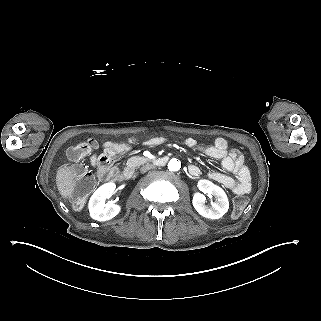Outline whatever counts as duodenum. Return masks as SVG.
I'll list each match as a JSON object with an SVG mask.
<instances>
[{
	"label": "duodenum",
	"mask_w": 321,
	"mask_h": 321,
	"mask_svg": "<svg viewBox=\"0 0 321 321\" xmlns=\"http://www.w3.org/2000/svg\"><path fill=\"white\" fill-rule=\"evenodd\" d=\"M167 161H168L167 157H160L154 160V164L156 166H163L167 163ZM133 177H134V171L131 168H125L117 175V179L119 181H128V180H131Z\"/></svg>",
	"instance_id": "obj_1"
}]
</instances>
